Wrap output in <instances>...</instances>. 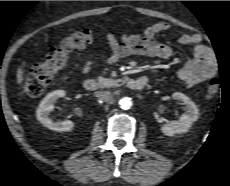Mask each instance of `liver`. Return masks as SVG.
<instances>
[{
    "instance_id": "1",
    "label": "liver",
    "mask_w": 230,
    "mask_h": 186,
    "mask_svg": "<svg viewBox=\"0 0 230 186\" xmlns=\"http://www.w3.org/2000/svg\"><path fill=\"white\" fill-rule=\"evenodd\" d=\"M23 74H24V72H23L22 66H20L18 68V70H17V75H16V77H17V83L19 85H21L23 83Z\"/></svg>"
}]
</instances>
